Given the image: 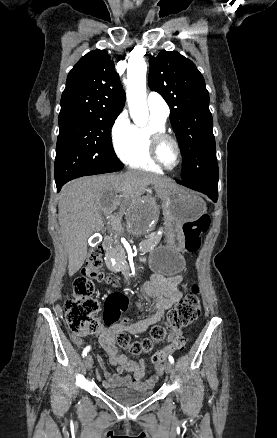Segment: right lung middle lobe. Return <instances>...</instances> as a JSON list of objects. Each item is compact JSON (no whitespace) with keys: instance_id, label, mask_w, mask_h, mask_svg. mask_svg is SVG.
<instances>
[{"instance_id":"right-lung-middle-lobe-1","label":"right lung middle lobe","mask_w":277,"mask_h":438,"mask_svg":"<svg viewBox=\"0 0 277 438\" xmlns=\"http://www.w3.org/2000/svg\"><path fill=\"white\" fill-rule=\"evenodd\" d=\"M114 119L84 116L59 117L55 180L115 172L123 164L115 155L111 128Z\"/></svg>"}]
</instances>
